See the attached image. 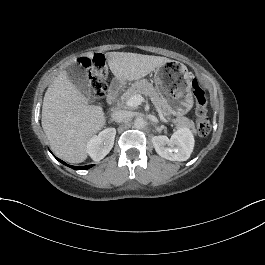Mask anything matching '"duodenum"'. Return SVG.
I'll return each mask as SVG.
<instances>
[{
	"instance_id": "1",
	"label": "duodenum",
	"mask_w": 265,
	"mask_h": 265,
	"mask_svg": "<svg viewBox=\"0 0 265 265\" xmlns=\"http://www.w3.org/2000/svg\"><path fill=\"white\" fill-rule=\"evenodd\" d=\"M122 87V81L120 80H115L112 82V84L109 87V92H108V101L109 104H112L116 97L119 94V91L121 90Z\"/></svg>"
}]
</instances>
